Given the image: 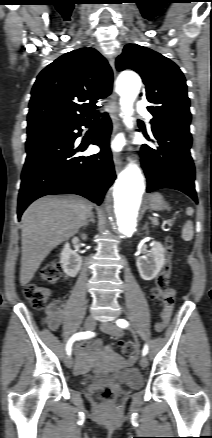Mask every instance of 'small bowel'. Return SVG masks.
<instances>
[{"label": "small bowel", "mask_w": 212, "mask_h": 438, "mask_svg": "<svg viewBox=\"0 0 212 438\" xmlns=\"http://www.w3.org/2000/svg\"><path fill=\"white\" fill-rule=\"evenodd\" d=\"M175 295V290L169 289L167 293L158 298L160 312L159 318L155 324V329L158 332L163 331L171 319L174 308ZM64 308V303L59 300L53 301L48 306L45 312L44 323L49 329L55 331L60 327L63 319ZM90 348L92 352H97L101 349V345L96 342L93 343ZM106 348L109 349L110 347L107 346ZM77 357L78 361L74 367V373L76 375H80L85 373L90 367V360L89 356L87 355V346L85 344L79 345Z\"/></svg>", "instance_id": "obj_1"}]
</instances>
